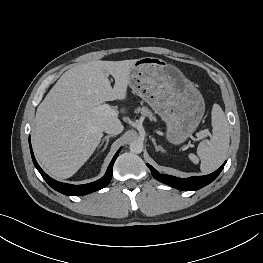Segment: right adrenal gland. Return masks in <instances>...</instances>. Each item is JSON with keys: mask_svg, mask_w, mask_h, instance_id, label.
I'll return each instance as SVG.
<instances>
[{"mask_svg": "<svg viewBox=\"0 0 263 263\" xmlns=\"http://www.w3.org/2000/svg\"><path fill=\"white\" fill-rule=\"evenodd\" d=\"M111 137H114V135H107V136H105V137L101 140V143H100V145H99V148L102 146V144L104 143V141H106V142H105V146H104L102 152L107 148V145H108V142H109V138H111ZM99 148H98V149H99Z\"/></svg>", "mask_w": 263, "mask_h": 263, "instance_id": "1", "label": "right adrenal gland"}]
</instances>
